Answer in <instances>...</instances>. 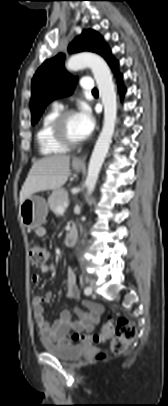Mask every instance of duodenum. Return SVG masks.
<instances>
[{
    "label": "duodenum",
    "instance_id": "obj_1",
    "mask_svg": "<svg viewBox=\"0 0 168 406\" xmlns=\"http://www.w3.org/2000/svg\"><path fill=\"white\" fill-rule=\"evenodd\" d=\"M78 239V231L75 225H71L66 232L64 242L67 246H73Z\"/></svg>",
    "mask_w": 168,
    "mask_h": 406
}]
</instances>
